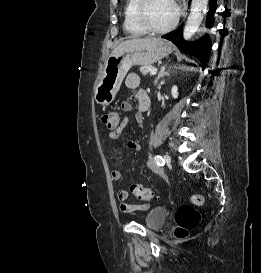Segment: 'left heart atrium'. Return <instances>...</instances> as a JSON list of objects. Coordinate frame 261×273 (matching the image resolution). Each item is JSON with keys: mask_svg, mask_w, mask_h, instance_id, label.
<instances>
[{"mask_svg": "<svg viewBox=\"0 0 261 273\" xmlns=\"http://www.w3.org/2000/svg\"><path fill=\"white\" fill-rule=\"evenodd\" d=\"M174 4H175V9H176V14H177L179 12V4L177 2H174Z\"/></svg>", "mask_w": 261, "mask_h": 273, "instance_id": "left-heart-atrium-1", "label": "left heart atrium"}]
</instances>
